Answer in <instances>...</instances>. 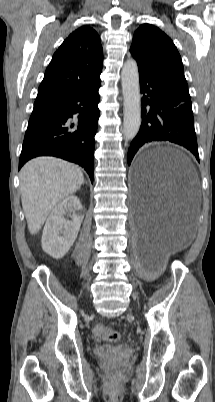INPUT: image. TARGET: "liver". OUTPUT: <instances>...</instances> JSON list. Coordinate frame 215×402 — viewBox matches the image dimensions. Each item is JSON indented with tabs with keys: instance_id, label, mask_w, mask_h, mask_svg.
<instances>
[{
	"instance_id": "obj_1",
	"label": "liver",
	"mask_w": 215,
	"mask_h": 402,
	"mask_svg": "<svg viewBox=\"0 0 215 402\" xmlns=\"http://www.w3.org/2000/svg\"><path fill=\"white\" fill-rule=\"evenodd\" d=\"M83 182L80 168L67 161L38 157L27 162L20 171V191L30 233H38L51 210Z\"/></svg>"
}]
</instances>
